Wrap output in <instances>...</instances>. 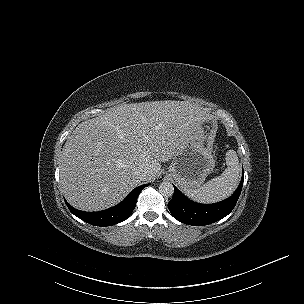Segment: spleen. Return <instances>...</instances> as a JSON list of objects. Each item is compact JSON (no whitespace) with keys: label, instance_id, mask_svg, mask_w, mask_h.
Segmentation results:
<instances>
[{"label":"spleen","instance_id":"3e777b00","mask_svg":"<svg viewBox=\"0 0 304 304\" xmlns=\"http://www.w3.org/2000/svg\"><path fill=\"white\" fill-rule=\"evenodd\" d=\"M227 168L198 189H184L185 194L200 203H215L230 196L238 185L241 167L236 151L228 150L226 153Z\"/></svg>","mask_w":304,"mask_h":304}]
</instances>
